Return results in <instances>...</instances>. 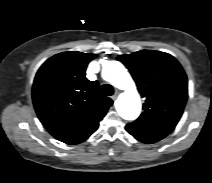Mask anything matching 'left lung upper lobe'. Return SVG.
Segmentation results:
<instances>
[{"label":"left lung upper lobe","mask_w":212,"mask_h":183,"mask_svg":"<svg viewBox=\"0 0 212 183\" xmlns=\"http://www.w3.org/2000/svg\"><path fill=\"white\" fill-rule=\"evenodd\" d=\"M130 70L141 96L144 112L133 125L169 134L177 125L187 101V77L170 54L141 50L119 55Z\"/></svg>","instance_id":"left-lung-upper-lobe-1"}]
</instances>
